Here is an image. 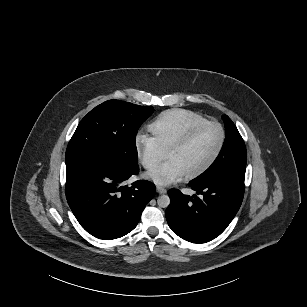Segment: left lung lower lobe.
I'll list each match as a JSON object with an SVG mask.
<instances>
[{"label":"left lung lower lobe","mask_w":307,"mask_h":307,"mask_svg":"<svg viewBox=\"0 0 307 307\" xmlns=\"http://www.w3.org/2000/svg\"><path fill=\"white\" fill-rule=\"evenodd\" d=\"M190 187L203 196L170 189L166 219L171 230L193 243H205L219 236L232 221L243 200L244 183L215 179Z\"/></svg>","instance_id":"left-lung-lower-lobe-1"}]
</instances>
